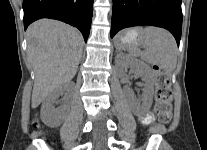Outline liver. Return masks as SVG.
I'll return each instance as SVG.
<instances>
[{"label": "liver", "mask_w": 207, "mask_h": 150, "mask_svg": "<svg viewBox=\"0 0 207 150\" xmlns=\"http://www.w3.org/2000/svg\"><path fill=\"white\" fill-rule=\"evenodd\" d=\"M28 56L35 74L32 108L73 79L82 55L83 37L63 22L41 19L27 29Z\"/></svg>", "instance_id": "6515ba94"}]
</instances>
